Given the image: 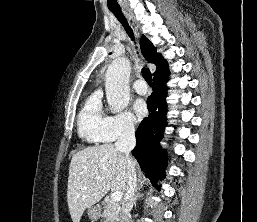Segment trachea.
Wrapping results in <instances>:
<instances>
[{
    "label": "trachea",
    "mask_w": 257,
    "mask_h": 222,
    "mask_svg": "<svg viewBox=\"0 0 257 222\" xmlns=\"http://www.w3.org/2000/svg\"><path fill=\"white\" fill-rule=\"evenodd\" d=\"M111 12L115 15V17L119 20V22L123 25V27L125 28L127 34L129 35V37L134 40V34L133 31L131 29V27L128 25V22L126 20V18L124 17V15L122 14L121 10H111ZM142 76L145 79V81L152 86V74L150 72L149 69L147 68H142Z\"/></svg>",
    "instance_id": "3493384b"
}]
</instances>
